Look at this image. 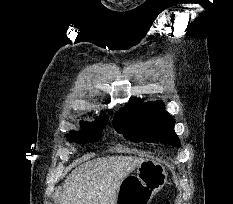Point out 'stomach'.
<instances>
[{
    "label": "stomach",
    "instance_id": "stomach-1",
    "mask_svg": "<svg viewBox=\"0 0 233 204\" xmlns=\"http://www.w3.org/2000/svg\"><path fill=\"white\" fill-rule=\"evenodd\" d=\"M167 181L164 165L144 159L136 167V175H128L121 183L115 204H149Z\"/></svg>",
    "mask_w": 233,
    "mask_h": 204
}]
</instances>
